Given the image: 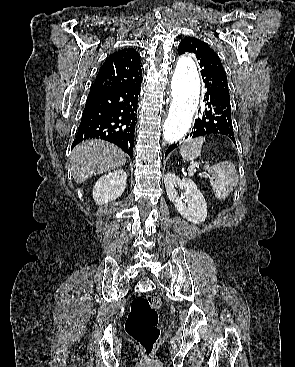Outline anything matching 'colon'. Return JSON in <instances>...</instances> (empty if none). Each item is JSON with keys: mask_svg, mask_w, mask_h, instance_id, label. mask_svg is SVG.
Instances as JSON below:
<instances>
[{"mask_svg": "<svg viewBox=\"0 0 295 367\" xmlns=\"http://www.w3.org/2000/svg\"><path fill=\"white\" fill-rule=\"evenodd\" d=\"M160 304L159 297L152 294L134 298L125 322L127 334L141 346L146 358L152 356L160 337L158 326Z\"/></svg>", "mask_w": 295, "mask_h": 367, "instance_id": "obj_1", "label": "colon"}]
</instances>
